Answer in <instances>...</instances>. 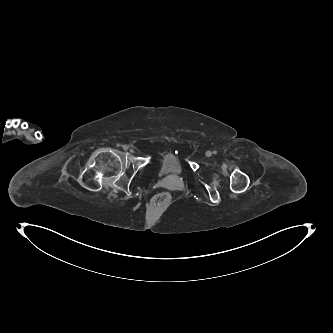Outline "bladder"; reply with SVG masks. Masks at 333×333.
Here are the masks:
<instances>
[{
	"mask_svg": "<svg viewBox=\"0 0 333 333\" xmlns=\"http://www.w3.org/2000/svg\"><path fill=\"white\" fill-rule=\"evenodd\" d=\"M158 173L163 178L183 176L184 168L180 157L174 153L164 155L159 163Z\"/></svg>",
	"mask_w": 333,
	"mask_h": 333,
	"instance_id": "obj_1",
	"label": "bladder"
}]
</instances>
